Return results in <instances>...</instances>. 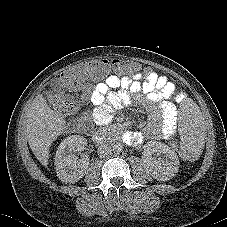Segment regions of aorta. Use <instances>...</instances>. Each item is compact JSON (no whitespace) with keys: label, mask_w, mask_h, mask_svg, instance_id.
Masks as SVG:
<instances>
[{"label":"aorta","mask_w":227,"mask_h":227,"mask_svg":"<svg viewBox=\"0 0 227 227\" xmlns=\"http://www.w3.org/2000/svg\"><path fill=\"white\" fill-rule=\"evenodd\" d=\"M122 145L120 143H116L112 146V151L116 154H119L122 152Z\"/></svg>","instance_id":"aorta-1"}]
</instances>
